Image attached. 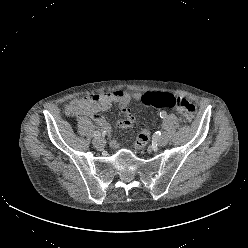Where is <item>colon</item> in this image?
I'll use <instances>...</instances> for the list:
<instances>
[{"mask_svg":"<svg viewBox=\"0 0 248 248\" xmlns=\"http://www.w3.org/2000/svg\"><path fill=\"white\" fill-rule=\"evenodd\" d=\"M142 103L145 111H149L152 108L175 109L186 122L192 121L196 115V107L192 102L170 93H146L142 97ZM149 138V129L144 126L135 140V148L138 150L144 148Z\"/></svg>","mask_w":248,"mask_h":248,"instance_id":"colon-1","label":"colon"}]
</instances>
